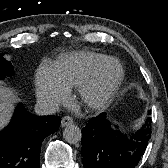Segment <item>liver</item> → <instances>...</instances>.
Listing matches in <instances>:
<instances>
[{"instance_id": "1", "label": "liver", "mask_w": 168, "mask_h": 168, "mask_svg": "<svg viewBox=\"0 0 168 168\" xmlns=\"http://www.w3.org/2000/svg\"><path fill=\"white\" fill-rule=\"evenodd\" d=\"M14 102L10 88L0 85V130L9 122Z\"/></svg>"}]
</instances>
